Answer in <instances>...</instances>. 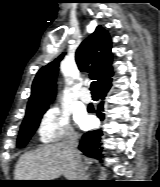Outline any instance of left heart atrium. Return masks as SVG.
I'll list each match as a JSON object with an SVG mask.
<instances>
[{"mask_svg": "<svg viewBox=\"0 0 160 187\" xmlns=\"http://www.w3.org/2000/svg\"><path fill=\"white\" fill-rule=\"evenodd\" d=\"M78 122L84 127V128H88L91 126V120L90 118H88L85 115H79L78 116Z\"/></svg>", "mask_w": 160, "mask_h": 187, "instance_id": "left-heart-atrium-1", "label": "left heart atrium"}]
</instances>
